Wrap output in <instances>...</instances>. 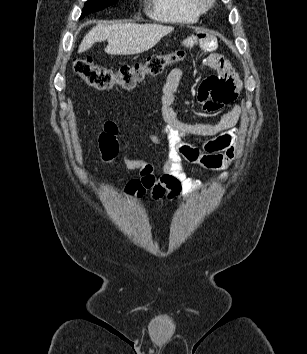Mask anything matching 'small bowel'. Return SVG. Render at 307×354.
Here are the masks:
<instances>
[{
  "label": "small bowel",
  "mask_w": 307,
  "mask_h": 354,
  "mask_svg": "<svg viewBox=\"0 0 307 354\" xmlns=\"http://www.w3.org/2000/svg\"><path fill=\"white\" fill-rule=\"evenodd\" d=\"M194 38L206 51H213L217 47L216 39L204 32H196ZM192 44V40L184 43L185 46ZM204 64L216 70L218 75L210 76L201 83L198 89V100L206 112L213 114L235 101L239 82L230 63L221 54L211 53ZM182 76L183 71L179 67L169 72L161 96L164 125L160 134L148 135L150 141L164 147L167 152L160 177L156 178L150 163L127 156L126 152L131 141L126 140L119 145L118 126L115 122L104 123L99 137L102 159L107 163H113L118 156H121L127 169L139 171L140 177L130 180L124 187L123 192L129 198H141L146 193H150L154 200L173 199L200 188L202 186L200 181L187 176L183 161L207 169L226 170L235 160L237 139L235 126L241 114V107L235 105L215 123L181 121L177 117L173 104ZM189 137L204 138V141L198 147L186 141ZM112 142L115 146L111 144ZM227 177L228 172H223L221 179L225 180Z\"/></svg>",
  "instance_id": "small-bowel-1"
}]
</instances>
